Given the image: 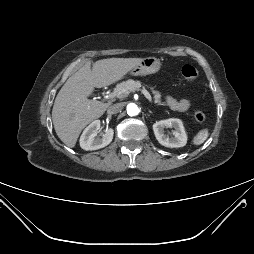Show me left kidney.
<instances>
[{
	"instance_id": "5707ae66",
	"label": "left kidney",
	"mask_w": 254,
	"mask_h": 254,
	"mask_svg": "<svg viewBox=\"0 0 254 254\" xmlns=\"http://www.w3.org/2000/svg\"><path fill=\"white\" fill-rule=\"evenodd\" d=\"M164 128H174L171 135H166ZM153 131L158 142L169 148L183 147L187 143V135L180 119L170 118L153 124Z\"/></svg>"
}]
</instances>
